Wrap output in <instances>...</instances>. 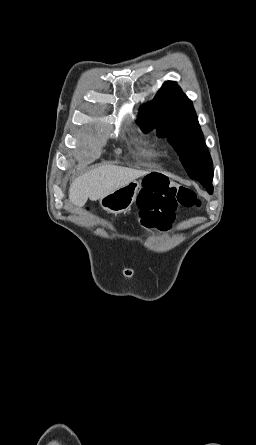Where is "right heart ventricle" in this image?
Returning a JSON list of instances; mask_svg holds the SVG:
<instances>
[{"label": "right heart ventricle", "mask_w": 256, "mask_h": 445, "mask_svg": "<svg viewBox=\"0 0 256 445\" xmlns=\"http://www.w3.org/2000/svg\"><path fill=\"white\" fill-rule=\"evenodd\" d=\"M145 154H146L147 156H152V155H153V153H152L150 150H146V151H145Z\"/></svg>", "instance_id": "1"}]
</instances>
